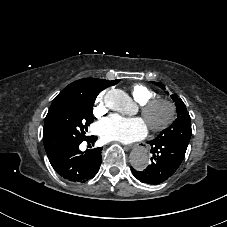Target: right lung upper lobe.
Here are the masks:
<instances>
[{
  "mask_svg": "<svg viewBox=\"0 0 227 227\" xmlns=\"http://www.w3.org/2000/svg\"><path fill=\"white\" fill-rule=\"evenodd\" d=\"M119 82V79L113 80V81H107L103 79H95V78H83L80 80H77L71 84H69L66 88H64L60 93H71L75 91H82L85 88L88 87V85L92 83H96L99 87V90H103L109 86L115 85Z\"/></svg>",
  "mask_w": 227,
  "mask_h": 227,
  "instance_id": "1",
  "label": "right lung upper lobe"
}]
</instances>
